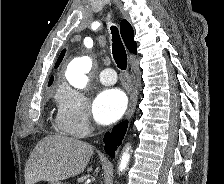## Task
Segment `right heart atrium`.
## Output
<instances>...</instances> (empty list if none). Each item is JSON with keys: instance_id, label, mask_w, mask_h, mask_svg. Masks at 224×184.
<instances>
[{"instance_id": "1", "label": "right heart atrium", "mask_w": 224, "mask_h": 184, "mask_svg": "<svg viewBox=\"0 0 224 184\" xmlns=\"http://www.w3.org/2000/svg\"><path fill=\"white\" fill-rule=\"evenodd\" d=\"M58 103V122L62 129L76 137L86 136L91 129V114L85 94L64 87L58 94Z\"/></svg>"}]
</instances>
